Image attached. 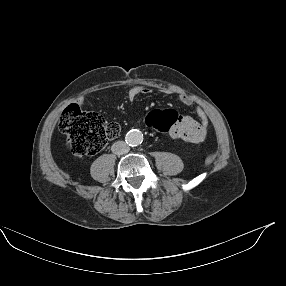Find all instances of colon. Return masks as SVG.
I'll use <instances>...</instances> for the list:
<instances>
[{
	"instance_id": "obj_1",
	"label": "colon",
	"mask_w": 286,
	"mask_h": 286,
	"mask_svg": "<svg viewBox=\"0 0 286 286\" xmlns=\"http://www.w3.org/2000/svg\"><path fill=\"white\" fill-rule=\"evenodd\" d=\"M180 121L181 115L170 109L151 110L144 117V124L151 131L170 130ZM59 129L66 135L68 148L78 156L97 154L121 131L119 124L106 122L99 113L82 110L74 104L62 112Z\"/></svg>"
}]
</instances>
